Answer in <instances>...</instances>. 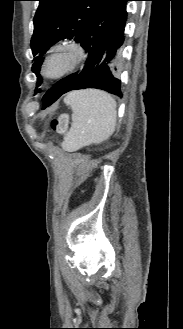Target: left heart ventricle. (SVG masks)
Segmentation results:
<instances>
[{"mask_svg": "<svg viewBox=\"0 0 183 329\" xmlns=\"http://www.w3.org/2000/svg\"><path fill=\"white\" fill-rule=\"evenodd\" d=\"M74 53L69 49H63L55 53L48 62L46 71L49 74L58 73L71 65Z\"/></svg>", "mask_w": 183, "mask_h": 329, "instance_id": "b2bd125f", "label": "left heart ventricle"}]
</instances>
